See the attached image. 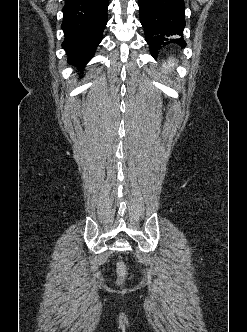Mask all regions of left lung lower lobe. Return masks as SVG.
I'll return each instance as SVG.
<instances>
[{
    "mask_svg": "<svg viewBox=\"0 0 247 332\" xmlns=\"http://www.w3.org/2000/svg\"><path fill=\"white\" fill-rule=\"evenodd\" d=\"M140 22L152 56L162 46L176 43L185 46L183 37L168 40L170 35H181L185 28L184 0H139Z\"/></svg>",
    "mask_w": 247,
    "mask_h": 332,
    "instance_id": "1",
    "label": "left lung lower lobe"
}]
</instances>
